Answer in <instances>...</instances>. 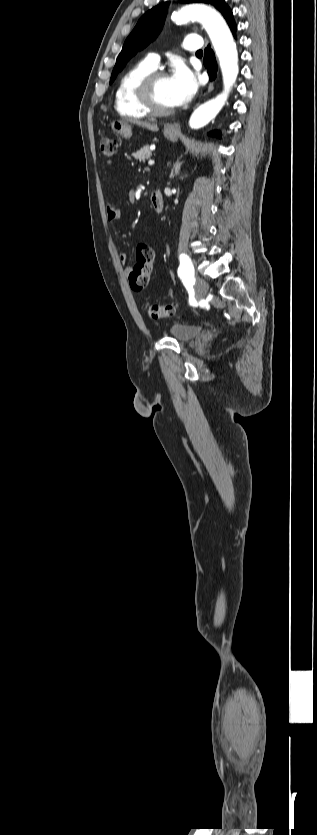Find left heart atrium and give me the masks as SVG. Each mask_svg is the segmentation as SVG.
Instances as JSON below:
<instances>
[{
  "mask_svg": "<svg viewBox=\"0 0 317 835\" xmlns=\"http://www.w3.org/2000/svg\"><path fill=\"white\" fill-rule=\"evenodd\" d=\"M169 92L174 106L188 102L197 90V81L185 65H178L168 78Z\"/></svg>",
  "mask_w": 317,
  "mask_h": 835,
  "instance_id": "obj_1",
  "label": "left heart atrium"
}]
</instances>
